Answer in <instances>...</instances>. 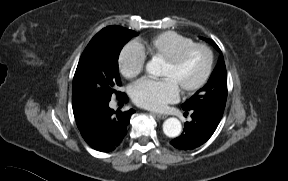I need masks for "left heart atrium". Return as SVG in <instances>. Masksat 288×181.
I'll list each match as a JSON object with an SVG mask.
<instances>
[{"label": "left heart atrium", "mask_w": 288, "mask_h": 181, "mask_svg": "<svg viewBox=\"0 0 288 181\" xmlns=\"http://www.w3.org/2000/svg\"><path fill=\"white\" fill-rule=\"evenodd\" d=\"M133 101L140 107L160 111L171 102L177 100L179 91L169 78H145L132 86Z\"/></svg>", "instance_id": "obj_1"}]
</instances>
